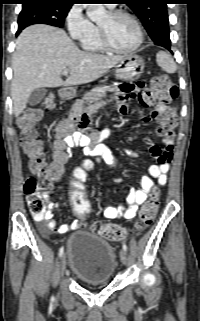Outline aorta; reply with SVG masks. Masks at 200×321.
<instances>
[{"label":"aorta","instance_id":"762f6f07","mask_svg":"<svg viewBox=\"0 0 200 321\" xmlns=\"http://www.w3.org/2000/svg\"><path fill=\"white\" fill-rule=\"evenodd\" d=\"M87 9V16L92 21H98L102 19L106 13V9L103 4H85Z\"/></svg>","mask_w":200,"mask_h":321}]
</instances>
